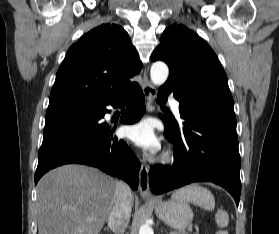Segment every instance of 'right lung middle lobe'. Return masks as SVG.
I'll list each match as a JSON object with an SVG mask.
<instances>
[{
	"label": "right lung middle lobe",
	"mask_w": 279,
	"mask_h": 234,
	"mask_svg": "<svg viewBox=\"0 0 279 234\" xmlns=\"http://www.w3.org/2000/svg\"><path fill=\"white\" fill-rule=\"evenodd\" d=\"M97 108L84 106H60L48 108L46 112V124L62 120L85 118L91 116Z\"/></svg>",
	"instance_id": "obj_1"
}]
</instances>
